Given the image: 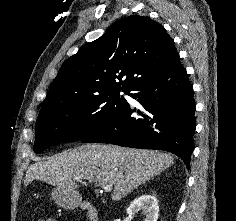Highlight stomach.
<instances>
[{"label":"stomach","instance_id":"obj_1","mask_svg":"<svg viewBox=\"0 0 236 221\" xmlns=\"http://www.w3.org/2000/svg\"><path fill=\"white\" fill-rule=\"evenodd\" d=\"M51 195L58 205L66 209H73L81 202V196L78 192L67 191L60 187L54 188Z\"/></svg>","mask_w":236,"mask_h":221}]
</instances>
